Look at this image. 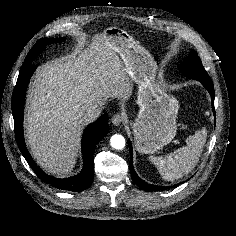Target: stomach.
<instances>
[{
	"label": "stomach",
	"mask_w": 236,
	"mask_h": 236,
	"mask_svg": "<svg viewBox=\"0 0 236 236\" xmlns=\"http://www.w3.org/2000/svg\"><path fill=\"white\" fill-rule=\"evenodd\" d=\"M104 36L138 85L139 111L131 123L135 147L140 153L152 154L175 137L179 102L156 82V62L132 36L118 27L106 28Z\"/></svg>",
	"instance_id": "obj_1"
}]
</instances>
